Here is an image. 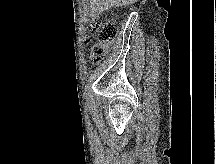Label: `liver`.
I'll list each match as a JSON object with an SVG mask.
<instances>
[{
    "label": "liver",
    "instance_id": "6515ba94",
    "mask_svg": "<svg viewBox=\"0 0 216 164\" xmlns=\"http://www.w3.org/2000/svg\"><path fill=\"white\" fill-rule=\"evenodd\" d=\"M90 2L92 5L91 15L96 16L113 7H123L134 4L137 0H90Z\"/></svg>",
    "mask_w": 216,
    "mask_h": 164
}]
</instances>
